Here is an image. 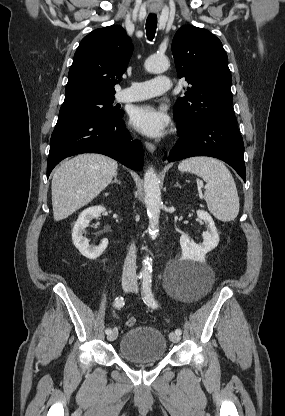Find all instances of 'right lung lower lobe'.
I'll use <instances>...</instances> for the list:
<instances>
[{
  "mask_svg": "<svg viewBox=\"0 0 285 416\" xmlns=\"http://www.w3.org/2000/svg\"><path fill=\"white\" fill-rule=\"evenodd\" d=\"M81 153H100L131 169L143 168L142 145L132 139L122 117L58 121L50 140L47 177L61 160Z\"/></svg>",
  "mask_w": 285,
  "mask_h": 416,
  "instance_id": "right-lung-lower-lobe-1",
  "label": "right lung lower lobe"
}]
</instances>
